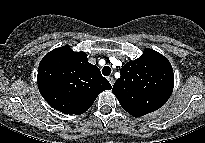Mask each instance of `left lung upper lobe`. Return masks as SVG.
I'll list each match as a JSON object with an SVG mask.
<instances>
[{
  "instance_id": "5c2ea615",
  "label": "left lung upper lobe",
  "mask_w": 205,
  "mask_h": 143,
  "mask_svg": "<svg viewBox=\"0 0 205 143\" xmlns=\"http://www.w3.org/2000/svg\"><path fill=\"white\" fill-rule=\"evenodd\" d=\"M112 92L125 111L140 117L162 107L172 94L174 73L167 58L146 49L122 66Z\"/></svg>"
}]
</instances>
